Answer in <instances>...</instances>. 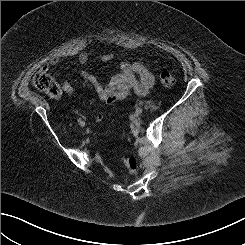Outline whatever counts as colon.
I'll list each match as a JSON object with an SVG mask.
<instances>
[{
  "mask_svg": "<svg viewBox=\"0 0 245 245\" xmlns=\"http://www.w3.org/2000/svg\"><path fill=\"white\" fill-rule=\"evenodd\" d=\"M175 82L176 79L171 72L164 71L160 74L159 83L162 88H171L175 84ZM33 85L35 86V88L52 98H57L60 96V88L55 81L53 75L46 68L39 70L33 76ZM123 162L131 173H136L138 171L139 163L136 157H125L123 159Z\"/></svg>",
  "mask_w": 245,
  "mask_h": 245,
  "instance_id": "obj_1",
  "label": "colon"
}]
</instances>
